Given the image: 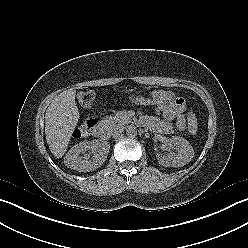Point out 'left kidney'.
<instances>
[{
  "label": "left kidney",
  "instance_id": "1",
  "mask_svg": "<svg viewBox=\"0 0 248 248\" xmlns=\"http://www.w3.org/2000/svg\"><path fill=\"white\" fill-rule=\"evenodd\" d=\"M169 144L176 149V153L169 156L157 154L160 165L165 167H182L193 159L194 150L186 139L179 136H172Z\"/></svg>",
  "mask_w": 248,
  "mask_h": 248
}]
</instances>
